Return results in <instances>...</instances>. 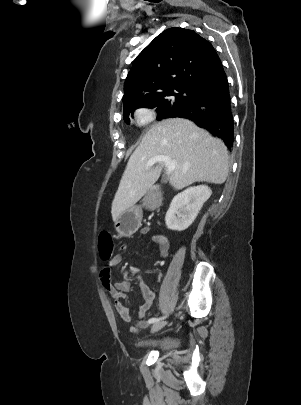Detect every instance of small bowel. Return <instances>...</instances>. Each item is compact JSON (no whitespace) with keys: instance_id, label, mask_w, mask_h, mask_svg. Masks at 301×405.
<instances>
[{"instance_id":"c3829d8e","label":"small bowel","mask_w":301,"mask_h":405,"mask_svg":"<svg viewBox=\"0 0 301 405\" xmlns=\"http://www.w3.org/2000/svg\"><path fill=\"white\" fill-rule=\"evenodd\" d=\"M150 231V227H143L140 230L142 234H148ZM152 243L155 245V248L161 257L165 258L168 256L169 243L165 237L161 235H153ZM126 248V245L122 246L123 250ZM121 262V255L112 256L111 260L101 269L99 276L104 288L114 298L116 311L124 320L129 321L131 319V309L126 305L125 300L130 285L126 280L114 281L112 279V267L119 265ZM137 280L143 297V302L137 310V316L141 319L139 323L140 326L145 327L149 324L150 319H146V315L155 302L156 293L153 289L147 286L139 276L137 277Z\"/></svg>"}]
</instances>
